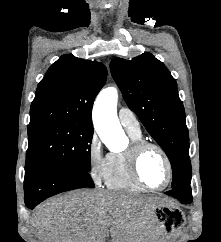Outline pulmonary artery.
I'll return each mask as SVG.
<instances>
[{
	"mask_svg": "<svg viewBox=\"0 0 221 242\" xmlns=\"http://www.w3.org/2000/svg\"><path fill=\"white\" fill-rule=\"evenodd\" d=\"M118 118L123 127L132 132H140V125L134 113L125 107L118 111Z\"/></svg>",
	"mask_w": 221,
	"mask_h": 242,
	"instance_id": "pulmonary-artery-1",
	"label": "pulmonary artery"
}]
</instances>
